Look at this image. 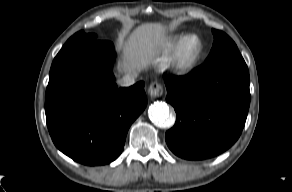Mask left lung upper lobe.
I'll use <instances>...</instances> for the list:
<instances>
[{
    "label": "left lung upper lobe",
    "instance_id": "obj_1",
    "mask_svg": "<svg viewBox=\"0 0 292 192\" xmlns=\"http://www.w3.org/2000/svg\"><path fill=\"white\" fill-rule=\"evenodd\" d=\"M214 34L213 48L205 63H211L223 58L242 59V56L233 40L219 30H212Z\"/></svg>",
    "mask_w": 292,
    "mask_h": 192
}]
</instances>
